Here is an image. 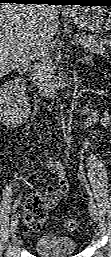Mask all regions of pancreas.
Here are the masks:
<instances>
[{
  "label": "pancreas",
  "instance_id": "1",
  "mask_svg": "<svg viewBox=\"0 0 111 257\" xmlns=\"http://www.w3.org/2000/svg\"><path fill=\"white\" fill-rule=\"evenodd\" d=\"M81 44L86 51H89L96 55H103L107 46H111V40L98 39L92 35L83 36L80 38Z\"/></svg>",
  "mask_w": 111,
  "mask_h": 257
}]
</instances>
